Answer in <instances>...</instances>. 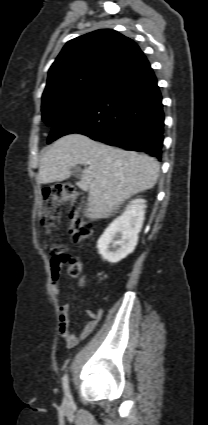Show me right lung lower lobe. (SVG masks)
Instances as JSON below:
<instances>
[{"mask_svg": "<svg viewBox=\"0 0 208 425\" xmlns=\"http://www.w3.org/2000/svg\"><path fill=\"white\" fill-rule=\"evenodd\" d=\"M164 113L157 79L143 57L93 104L58 119L48 143L72 133L161 159Z\"/></svg>", "mask_w": 208, "mask_h": 425, "instance_id": "1", "label": "right lung lower lobe"}]
</instances>
